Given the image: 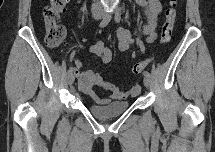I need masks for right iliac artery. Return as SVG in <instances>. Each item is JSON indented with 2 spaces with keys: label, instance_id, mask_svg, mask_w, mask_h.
Masks as SVG:
<instances>
[{
  "label": "right iliac artery",
  "instance_id": "82829eb1",
  "mask_svg": "<svg viewBox=\"0 0 215 152\" xmlns=\"http://www.w3.org/2000/svg\"><path fill=\"white\" fill-rule=\"evenodd\" d=\"M110 20H111V15L104 17L103 20L100 22L99 27L103 28V27L107 26L108 23L110 22ZM70 73H72L71 67L68 70V74H70Z\"/></svg>",
  "mask_w": 215,
  "mask_h": 152
}]
</instances>
